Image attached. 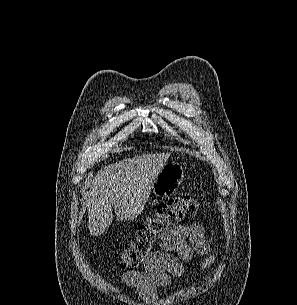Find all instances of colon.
<instances>
[{
    "instance_id": "5ec220e1",
    "label": "colon",
    "mask_w": 297,
    "mask_h": 305,
    "mask_svg": "<svg viewBox=\"0 0 297 305\" xmlns=\"http://www.w3.org/2000/svg\"><path fill=\"white\" fill-rule=\"evenodd\" d=\"M197 200L182 195L158 205L155 214L141 223L135 234L120 252V267L131 270L138 267L152 252L158 236L198 211Z\"/></svg>"
}]
</instances>
